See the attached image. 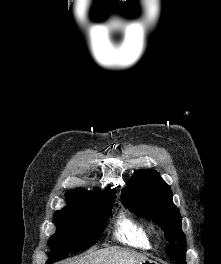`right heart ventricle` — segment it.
<instances>
[{"instance_id": "right-heart-ventricle-1", "label": "right heart ventricle", "mask_w": 221, "mask_h": 264, "mask_svg": "<svg viewBox=\"0 0 221 264\" xmlns=\"http://www.w3.org/2000/svg\"><path fill=\"white\" fill-rule=\"evenodd\" d=\"M115 236L128 245L149 249L152 245V233L142 222L128 216H122L118 222Z\"/></svg>"}]
</instances>
